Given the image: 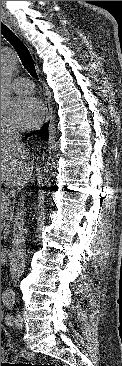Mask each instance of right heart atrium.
<instances>
[{
	"label": "right heart atrium",
	"instance_id": "obj_1",
	"mask_svg": "<svg viewBox=\"0 0 122 366\" xmlns=\"http://www.w3.org/2000/svg\"><path fill=\"white\" fill-rule=\"evenodd\" d=\"M9 129H12L11 124L1 119V135Z\"/></svg>",
	"mask_w": 122,
	"mask_h": 366
}]
</instances>
